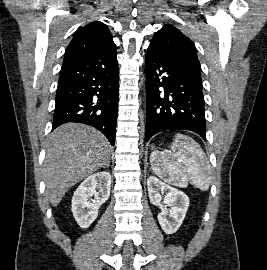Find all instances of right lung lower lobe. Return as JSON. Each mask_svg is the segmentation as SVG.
<instances>
[{
	"mask_svg": "<svg viewBox=\"0 0 267 270\" xmlns=\"http://www.w3.org/2000/svg\"><path fill=\"white\" fill-rule=\"evenodd\" d=\"M118 91L115 46L63 63L52 130L68 122L84 123L101 131L114 145Z\"/></svg>",
	"mask_w": 267,
	"mask_h": 270,
	"instance_id": "right-lung-lower-lobe-1",
	"label": "right lung lower lobe"
}]
</instances>
